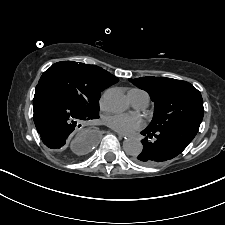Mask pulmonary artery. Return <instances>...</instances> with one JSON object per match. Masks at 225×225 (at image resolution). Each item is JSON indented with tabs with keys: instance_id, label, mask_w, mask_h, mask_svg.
<instances>
[{
	"instance_id": "e3ab8cb5",
	"label": "pulmonary artery",
	"mask_w": 225,
	"mask_h": 225,
	"mask_svg": "<svg viewBox=\"0 0 225 225\" xmlns=\"http://www.w3.org/2000/svg\"><path fill=\"white\" fill-rule=\"evenodd\" d=\"M128 97L132 105L137 109H144L148 106L149 95L145 91L139 89H131L128 92Z\"/></svg>"
}]
</instances>
